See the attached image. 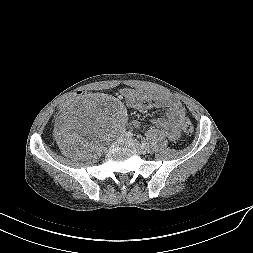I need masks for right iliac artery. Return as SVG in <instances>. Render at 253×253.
I'll list each match as a JSON object with an SVG mask.
<instances>
[{"label":"right iliac artery","instance_id":"right-iliac-artery-1","mask_svg":"<svg viewBox=\"0 0 253 253\" xmlns=\"http://www.w3.org/2000/svg\"><path fill=\"white\" fill-rule=\"evenodd\" d=\"M132 133L130 131L125 132L123 136H125L126 138H131L132 137Z\"/></svg>","mask_w":253,"mask_h":253}]
</instances>
